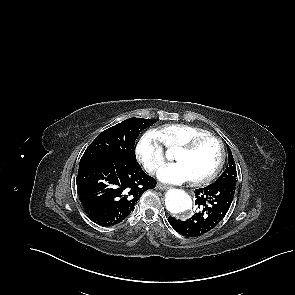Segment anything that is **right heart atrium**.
<instances>
[{
  "label": "right heart atrium",
  "instance_id": "right-heart-atrium-1",
  "mask_svg": "<svg viewBox=\"0 0 295 295\" xmlns=\"http://www.w3.org/2000/svg\"><path fill=\"white\" fill-rule=\"evenodd\" d=\"M135 151L138 160L150 174H155L166 160L164 147L154 131L140 137Z\"/></svg>",
  "mask_w": 295,
  "mask_h": 295
}]
</instances>
